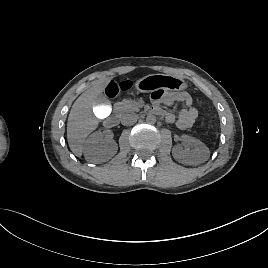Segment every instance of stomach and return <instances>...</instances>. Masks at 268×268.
Listing matches in <instances>:
<instances>
[{
    "mask_svg": "<svg viewBox=\"0 0 268 268\" xmlns=\"http://www.w3.org/2000/svg\"><path fill=\"white\" fill-rule=\"evenodd\" d=\"M135 88L138 92L148 93L159 89L180 92L187 88L182 78L168 74H149L137 80Z\"/></svg>",
    "mask_w": 268,
    "mask_h": 268,
    "instance_id": "stomach-1",
    "label": "stomach"
}]
</instances>
